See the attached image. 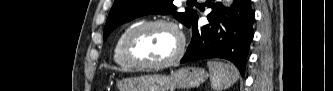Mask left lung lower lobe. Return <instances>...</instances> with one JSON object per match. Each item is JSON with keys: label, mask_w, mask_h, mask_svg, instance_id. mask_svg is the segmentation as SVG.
<instances>
[{"label": "left lung lower lobe", "mask_w": 333, "mask_h": 91, "mask_svg": "<svg viewBox=\"0 0 333 91\" xmlns=\"http://www.w3.org/2000/svg\"><path fill=\"white\" fill-rule=\"evenodd\" d=\"M206 4L212 8L207 16L209 24L198 29V17L195 16L191 24V43L180 62L224 58L233 62L244 76L249 45L254 36L255 14L250 0H236L227 9L214 0H208Z\"/></svg>", "instance_id": "0a47b994"}]
</instances>
